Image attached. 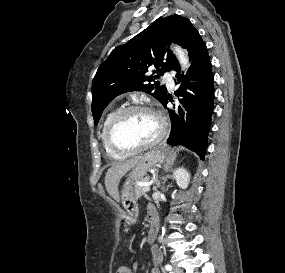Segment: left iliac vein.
<instances>
[{
  "instance_id": "1",
  "label": "left iliac vein",
  "mask_w": 285,
  "mask_h": 273,
  "mask_svg": "<svg viewBox=\"0 0 285 273\" xmlns=\"http://www.w3.org/2000/svg\"><path fill=\"white\" fill-rule=\"evenodd\" d=\"M171 273H184L183 270L179 267H174L173 271Z\"/></svg>"
}]
</instances>
